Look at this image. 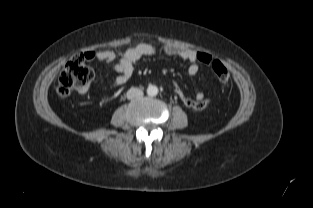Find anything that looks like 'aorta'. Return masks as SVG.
Here are the masks:
<instances>
[{
	"label": "aorta",
	"mask_w": 313,
	"mask_h": 208,
	"mask_svg": "<svg viewBox=\"0 0 313 208\" xmlns=\"http://www.w3.org/2000/svg\"><path fill=\"white\" fill-rule=\"evenodd\" d=\"M147 94L149 96H156L158 94V88L155 85H149L147 88Z\"/></svg>",
	"instance_id": "1"
}]
</instances>
